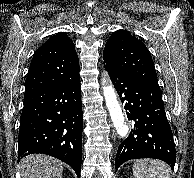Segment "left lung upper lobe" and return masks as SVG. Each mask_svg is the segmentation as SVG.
<instances>
[{"instance_id": "obj_1", "label": "left lung upper lobe", "mask_w": 194, "mask_h": 178, "mask_svg": "<svg viewBox=\"0 0 194 178\" xmlns=\"http://www.w3.org/2000/svg\"><path fill=\"white\" fill-rule=\"evenodd\" d=\"M106 66L129 77L158 85L151 54L142 41L126 30L114 32L103 53Z\"/></svg>"}]
</instances>
